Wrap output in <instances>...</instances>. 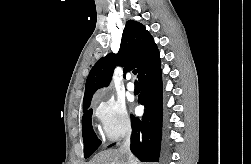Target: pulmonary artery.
<instances>
[{"instance_id": "obj_1", "label": "pulmonary artery", "mask_w": 251, "mask_h": 164, "mask_svg": "<svg viewBox=\"0 0 251 164\" xmlns=\"http://www.w3.org/2000/svg\"><path fill=\"white\" fill-rule=\"evenodd\" d=\"M127 89L131 92H133L135 90V85L133 82H128L127 84Z\"/></svg>"}]
</instances>
